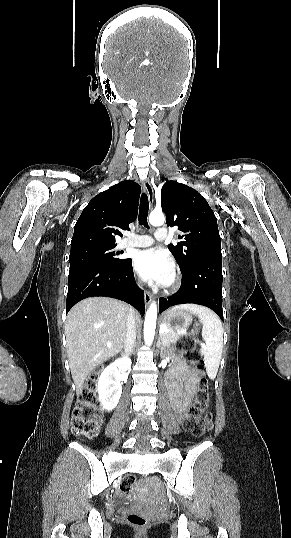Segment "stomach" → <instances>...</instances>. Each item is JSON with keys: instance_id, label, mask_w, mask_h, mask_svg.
Instances as JSON below:
<instances>
[{"instance_id": "stomach-1", "label": "stomach", "mask_w": 291, "mask_h": 538, "mask_svg": "<svg viewBox=\"0 0 291 538\" xmlns=\"http://www.w3.org/2000/svg\"><path fill=\"white\" fill-rule=\"evenodd\" d=\"M192 314L186 310H170L163 315L162 324L173 331L186 329L192 323Z\"/></svg>"}]
</instances>
